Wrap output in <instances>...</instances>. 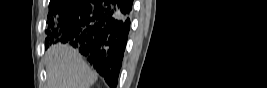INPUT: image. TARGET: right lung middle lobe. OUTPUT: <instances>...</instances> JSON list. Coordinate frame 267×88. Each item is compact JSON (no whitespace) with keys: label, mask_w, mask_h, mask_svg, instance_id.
Masks as SVG:
<instances>
[{"label":"right lung middle lobe","mask_w":267,"mask_h":88,"mask_svg":"<svg viewBox=\"0 0 267 88\" xmlns=\"http://www.w3.org/2000/svg\"><path fill=\"white\" fill-rule=\"evenodd\" d=\"M73 0H51L49 4V14L48 17L53 18V16L58 15L61 11L67 8ZM49 19V20H51ZM48 20V21H49ZM47 34L51 36L50 32L47 31ZM48 38L46 39V41Z\"/></svg>","instance_id":"right-lung-middle-lobe-1"}]
</instances>
